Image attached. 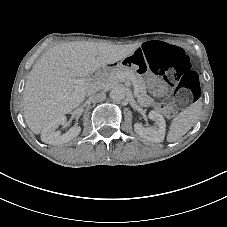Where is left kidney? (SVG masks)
<instances>
[{"label":"left kidney","mask_w":227,"mask_h":227,"mask_svg":"<svg viewBox=\"0 0 227 227\" xmlns=\"http://www.w3.org/2000/svg\"><path fill=\"white\" fill-rule=\"evenodd\" d=\"M149 119L155 122L154 127H143L141 123L134 124L135 132L149 142L160 143L165 138L166 123L164 117L157 111H150Z\"/></svg>","instance_id":"obj_1"}]
</instances>
